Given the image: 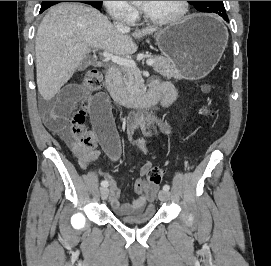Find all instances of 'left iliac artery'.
Listing matches in <instances>:
<instances>
[{
    "label": "left iliac artery",
    "instance_id": "left-iliac-artery-1",
    "mask_svg": "<svg viewBox=\"0 0 271 266\" xmlns=\"http://www.w3.org/2000/svg\"><path fill=\"white\" fill-rule=\"evenodd\" d=\"M169 189H170V186H169V185L165 184V185L163 186V190L169 191Z\"/></svg>",
    "mask_w": 271,
    "mask_h": 266
}]
</instances>
